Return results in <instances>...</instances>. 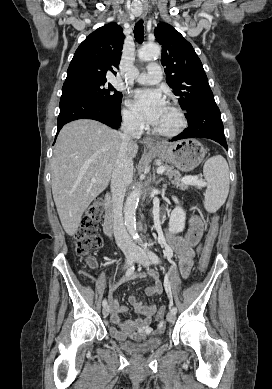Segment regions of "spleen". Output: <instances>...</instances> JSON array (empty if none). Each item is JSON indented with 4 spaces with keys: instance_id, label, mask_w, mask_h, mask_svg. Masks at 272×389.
Here are the masks:
<instances>
[{
    "instance_id": "spleen-1",
    "label": "spleen",
    "mask_w": 272,
    "mask_h": 389,
    "mask_svg": "<svg viewBox=\"0 0 272 389\" xmlns=\"http://www.w3.org/2000/svg\"><path fill=\"white\" fill-rule=\"evenodd\" d=\"M203 175L207 181L204 193V207L210 212H216L226 201L229 193V167L221 155L208 159L203 167Z\"/></svg>"
}]
</instances>
